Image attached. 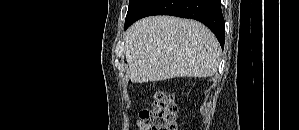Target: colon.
<instances>
[{
	"label": "colon",
	"mask_w": 299,
	"mask_h": 130,
	"mask_svg": "<svg viewBox=\"0 0 299 130\" xmlns=\"http://www.w3.org/2000/svg\"><path fill=\"white\" fill-rule=\"evenodd\" d=\"M177 111L173 95L166 92L156 93L152 106L140 114L143 130H178Z\"/></svg>",
	"instance_id": "obj_1"
}]
</instances>
